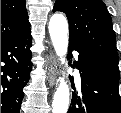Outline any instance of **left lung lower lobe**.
Returning <instances> with one entry per match:
<instances>
[{"label": "left lung lower lobe", "instance_id": "obj_1", "mask_svg": "<svg viewBox=\"0 0 121 113\" xmlns=\"http://www.w3.org/2000/svg\"><path fill=\"white\" fill-rule=\"evenodd\" d=\"M69 49L79 52L78 61L74 63L80 71L82 84L79 92L72 93L67 113H121L119 77L88 56L76 43L69 41Z\"/></svg>", "mask_w": 121, "mask_h": 113}]
</instances>
